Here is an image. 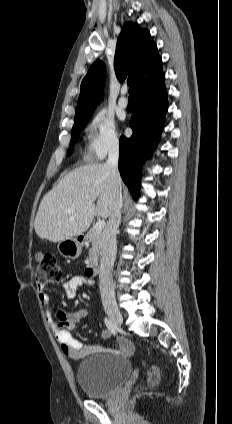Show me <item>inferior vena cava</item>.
<instances>
[{
	"instance_id": "obj_1",
	"label": "inferior vena cava",
	"mask_w": 232,
	"mask_h": 424,
	"mask_svg": "<svg viewBox=\"0 0 232 424\" xmlns=\"http://www.w3.org/2000/svg\"><path fill=\"white\" fill-rule=\"evenodd\" d=\"M119 142L113 140L108 150L106 166L114 185V202L112 214L102 235V249L99 271V288L103 304L115 303V288L112 270L116 258L117 242L116 231L121 222V208L123 206L121 193V178L118 171Z\"/></svg>"
}]
</instances>
